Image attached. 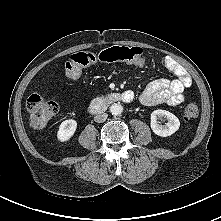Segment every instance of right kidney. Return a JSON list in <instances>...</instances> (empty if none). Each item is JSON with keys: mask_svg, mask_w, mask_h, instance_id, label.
<instances>
[{"mask_svg": "<svg viewBox=\"0 0 221 221\" xmlns=\"http://www.w3.org/2000/svg\"><path fill=\"white\" fill-rule=\"evenodd\" d=\"M77 128V122L73 119L63 121L57 132V138L61 142L68 141L75 133Z\"/></svg>", "mask_w": 221, "mask_h": 221, "instance_id": "ca27d5eb", "label": "right kidney"}]
</instances>
